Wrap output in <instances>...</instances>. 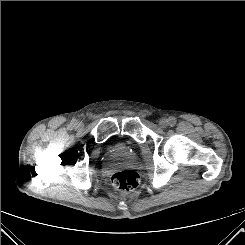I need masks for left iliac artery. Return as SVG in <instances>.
Wrapping results in <instances>:
<instances>
[{
	"mask_svg": "<svg viewBox=\"0 0 245 245\" xmlns=\"http://www.w3.org/2000/svg\"><path fill=\"white\" fill-rule=\"evenodd\" d=\"M168 121L170 126H174L176 124V118L174 117H170Z\"/></svg>",
	"mask_w": 245,
	"mask_h": 245,
	"instance_id": "left-iliac-artery-1",
	"label": "left iliac artery"
}]
</instances>
